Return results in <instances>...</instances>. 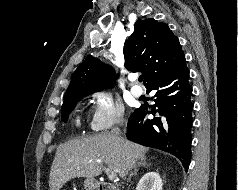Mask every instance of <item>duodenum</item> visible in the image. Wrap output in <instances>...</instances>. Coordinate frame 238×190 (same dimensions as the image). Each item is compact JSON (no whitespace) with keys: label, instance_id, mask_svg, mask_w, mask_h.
I'll return each mask as SVG.
<instances>
[{"label":"duodenum","instance_id":"1","mask_svg":"<svg viewBox=\"0 0 238 190\" xmlns=\"http://www.w3.org/2000/svg\"><path fill=\"white\" fill-rule=\"evenodd\" d=\"M95 190H117L114 186L108 184V183H95L94 184Z\"/></svg>","mask_w":238,"mask_h":190}]
</instances>
